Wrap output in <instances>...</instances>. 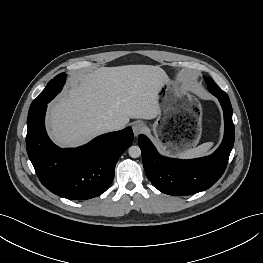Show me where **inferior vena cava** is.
<instances>
[{
    "mask_svg": "<svg viewBox=\"0 0 263 263\" xmlns=\"http://www.w3.org/2000/svg\"><path fill=\"white\" fill-rule=\"evenodd\" d=\"M104 126L108 131H116V130H120L123 128V125L121 123H119L118 121H114V120L106 122Z\"/></svg>",
    "mask_w": 263,
    "mask_h": 263,
    "instance_id": "1",
    "label": "inferior vena cava"
}]
</instances>
